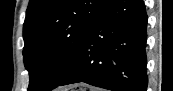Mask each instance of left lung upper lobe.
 Listing matches in <instances>:
<instances>
[{"label": "left lung upper lobe", "instance_id": "left-lung-upper-lobe-1", "mask_svg": "<svg viewBox=\"0 0 173 91\" xmlns=\"http://www.w3.org/2000/svg\"><path fill=\"white\" fill-rule=\"evenodd\" d=\"M110 0H30L23 27L27 91L56 88Z\"/></svg>", "mask_w": 173, "mask_h": 91}]
</instances>
